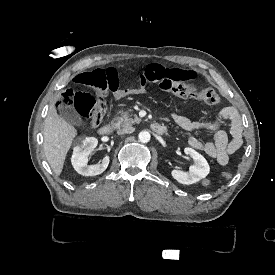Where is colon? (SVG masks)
Masks as SVG:
<instances>
[{
  "mask_svg": "<svg viewBox=\"0 0 275 275\" xmlns=\"http://www.w3.org/2000/svg\"><path fill=\"white\" fill-rule=\"evenodd\" d=\"M77 76L73 77L72 86L82 88L83 91H67L57 100L56 106L69 110L85 126H97L103 121L107 111L106 93L100 92H108V81H105L104 72H92L90 68H79ZM158 90L164 96L201 100L212 106L221 103V98L216 92L199 85L163 80L159 83ZM88 92L97 93L92 95ZM222 176L228 179L231 172L226 170Z\"/></svg>",
  "mask_w": 275,
  "mask_h": 275,
  "instance_id": "1",
  "label": "colon"
}]
</instances>
